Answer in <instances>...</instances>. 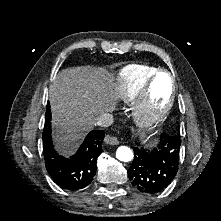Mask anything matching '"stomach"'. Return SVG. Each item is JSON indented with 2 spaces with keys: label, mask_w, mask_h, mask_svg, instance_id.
<instances>
[{
  "label": "stomach",
  "mask_w": 221,
  "mask_h": 221,
  "mask_svg": "<svg viewBox=\"0 0 221 221\" xmlns=\"http://www.w3.org/2000/svg\"><path fill=\"white\" fill-rule=\"evenodd\" d=\"M154 143H155L154 140H152V139L149 140V144H150V145H154Z\"/></svg>",
  "instance_id": "1"
}]
</instances>
